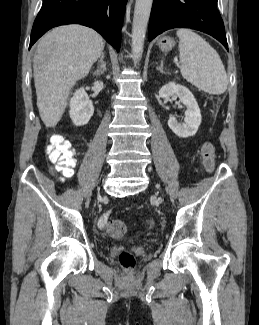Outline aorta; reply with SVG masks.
Listing matches in <instances>:
<instances>
[{
	"label": "aorta",
	"instance_id": "1",
	"mask_svg": "<svg viewBox=\"0 0 259 325\" xmlns=\"http://www.w3.org/2000/svg\"><path fill=\"white\" fill-rule=\"evenodd\" d=\"M152 2L153 0H136L135 3L132 26V53L135 64L142 56Z\"/></svg>",
	"mask_w": 259,
	"mask_h": 325
}]
</instances>
